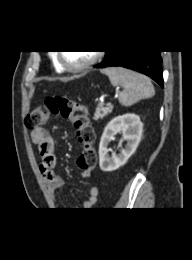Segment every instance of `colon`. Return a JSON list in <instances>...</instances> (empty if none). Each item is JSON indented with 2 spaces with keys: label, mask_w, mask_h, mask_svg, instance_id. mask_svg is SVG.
Returning a JSON list of instances; mask_svg holds the SVG:
<instances>
[{
  "label": "colon",
  "mask_w": 192,
  "mask_h": 260,
  "mask_svg": "<svg viewBox=\"0 0 192 260\" xmlns=\"http://www.w3.org/2000/svg\"><path fill=\"white\" fill-rule=\"evenodd\" d=\"M51 114L61 115L74 121L77 138L83 144V151L78 158V165L84 170L95 166V132L92 128L85 107L65 96H51L43 105L36 107L27 117V127L33 132L44 126Z\"/></svg>",
  "instance_id": "colon-1"
}]
</instances>
